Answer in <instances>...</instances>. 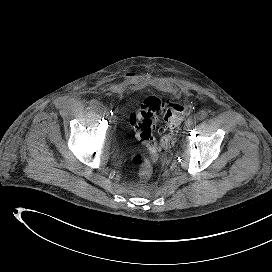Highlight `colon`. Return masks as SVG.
<instances>
[{"label":"colon","mask_w":272,"mask_h":272,"mask_svg":"<svg viewBox=\"0 0 272 272\" xmlns=\"http://www.w3.org/2000/svg\"><path fill=\"white\" fill-rule=\"evenodd\" d=\"M186 110L183 102L163 101L155 96L147 97L141 107L130 115V124L144 148L135 153L131 159L132 165L139 174L147 178L152 173V157L159 151L170 148L181 124V118ZM163 113L167 126L166 132L159 141L153 136L154 119Z\"/></svg>","instance_id":"colon-1"}]
</instances>
